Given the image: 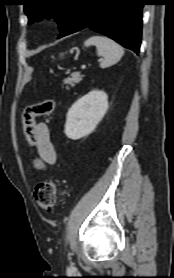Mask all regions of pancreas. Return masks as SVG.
I'll return each instance as SVG.
<instances>
[{"label":"pancreas","instance_id":"1","mask_svg":"<svg viewBox=\"0 0 174 278\" xmlns=\"http://www.w3.org/2000/svg\"><path fill=\"white\" fill-rule=\"evenodd\" d=\"M82 80V75L80 73H73L71 77L64 80L65 84L73 86L75 83H79Z\"/></svg>","mask_w":174,"mask_h":278}]
</instances>
